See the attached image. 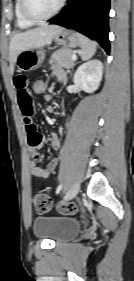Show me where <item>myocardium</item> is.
<instances>
[{
  "label": "myocardium",
  "instance_id": "1",
  "mask_svg": "<svg viewBox=\"0 0 134 281\" xmlns=\"http://www.w3.org/2000/svg\"><path fill=\"white\" fill-rule=\"evenodd\" d=\"M67 0H60L57 7L49 14H37L31 7L30 0H21V9L24 16L33 22H43L56 16L64 7Z\"/></svg>",
  "mask_w": 134,
  "mask_h": 281
}]
</instances>
